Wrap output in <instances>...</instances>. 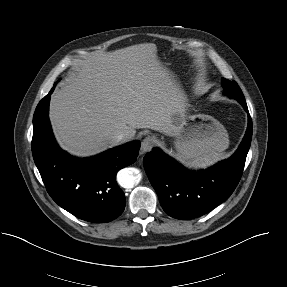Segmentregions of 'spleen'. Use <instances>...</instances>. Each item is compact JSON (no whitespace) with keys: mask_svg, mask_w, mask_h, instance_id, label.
<instances>
[{"mask_svg":"<svg viewBox=\"0 0 287 287\" xmlns=\"http://www.w3.org/2000/svg\"><path fill=\"white\" fill-rule=\"evenodd\" d=\"M225 157L226 155L223 153H216V154L208 155V156H205L203 158L196 160L193 163V166L196 168H206L208 166L213 165L214 163H216L217 161Z\"/></svg>","mask_w":287,"mask_h":287,"instance_id":"obj_1","label":"spleen"}]
</instances>
